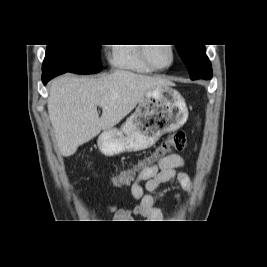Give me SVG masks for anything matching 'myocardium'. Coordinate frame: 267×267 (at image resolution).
Here are the masks:
<instances>
[{
	"instance_id": "myocardium-1",
	"label": "myocardium",
	"mask_w": 267,
	"mask_h": 267,
	"mask_svg": "<svg viewBox=\"0 0 267 267\" xmlns=\"http://www.w3.org/2000/svg\"><path fill=\"white\" fill-rule=\"evenodd\" d=\"M153 45L154 44H146V46H142V56H143V59L144 61L150 66L152 67L154 70H157V71H165L167 69H169L175 62V49H174V46L171 45V44H164L168 47V49L170 50V53H171V60L169 62V64L167 66H164V67H161V66H158L154 63V61L152 60L151 58V49L153 48Z\"/></svg>"
}]
</instances>
